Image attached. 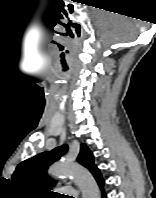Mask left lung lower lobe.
<instances>
[{"label": "left lung lower lobe", "instance_id": "obj_1", "mask_svg": "<svg viewBox=\"0 0 156 198\" xmlns=\"http://www.w3.org/2000/svg\"><path fill=\"white\" fill-rule=\"evenodd\" d=\"M98 185L100 186V188L102 189L103 187V184H104V180L102 178V175L100 173V171L94 176ZM102 198H107L104 191L102 190Z\"/></svg>", "mask_w": 156, "mask_h": 198}]
</instances>
